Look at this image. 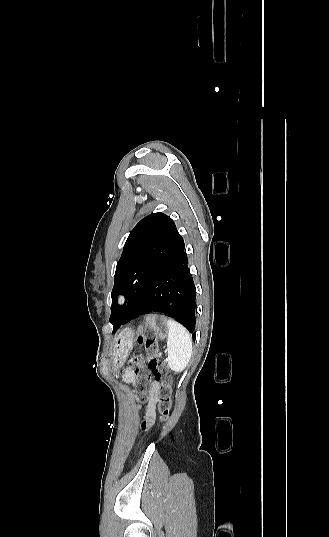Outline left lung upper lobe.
<instances>
[{"label":"left lung upper lobe","instance_id":"5c2ea615","mask_svg":"<svg viewBox=\"0 0 329 537\" xmlns=\"http://www.w3.org/2000/svg\"><path fill=\"white\" fill-rule=\"evenodd\" d=\"M184 245L175 223L167 215L152 213L138 222L130 232L116 266L111 293L113 332L141 299L157 272ZM119 294L125 296L127 304L117 305Z\"/></svg>","mask_w":329,"mask_h":537}]
</instances>
